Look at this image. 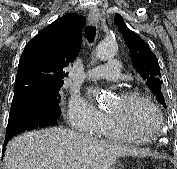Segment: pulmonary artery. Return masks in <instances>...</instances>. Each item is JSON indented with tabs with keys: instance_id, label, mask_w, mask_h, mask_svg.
<instances>
[{
	"instance_id": "pulmonary-artery-1",
	"label": "pulmonary artery",
	"mask_w": 177,
	"mask_h": 169,
	"mask_svg": "<svg viewBox=\"0 0 177 169\" xmlns=\"http://www.w3.org/2000/svg\"><path fill=\"white\" fill-rule=\"evenodd\" d=\"M121 64L116 59H111L108 64L97 66L88 70L85 77L91 80H109L116 82L119 79Z\"/></svg>"
}]
</instances>
